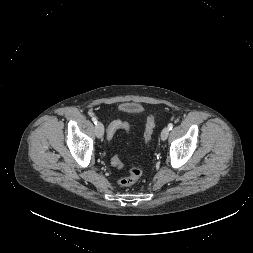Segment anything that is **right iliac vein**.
<instances>
[{
  "label": "right iliac vein",
  "mask_w": 253,
  "mask_h": 253,
  "mask_svg": "<svg viewBox=\"0 0 253 253\" xmlns=\"http://www.w3.org/2000/svg\"><path fill=\"white\" fill-rule=\"evenodd\" d=\"M95 132H96V136L98 138H102L103 137V134H104V126L101 122H98L97 126H96V129H95Z\"/></svg>",
  "instance_id": "right-iliac-vein-1"
}]
</instances>
